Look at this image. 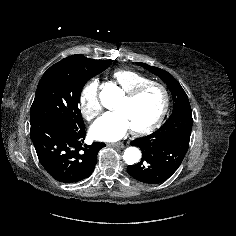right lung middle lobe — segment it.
<instances>
[{
	"label": "right lung middle lobe",
	"mask_w": 236,
	"mask_h": 236,
	"mask_svg": "<svg viewBox=\"0 0 236 236\" xmlns=\"http://www.w3.org/2000/svg\"><path fill=\"white\" fill-rule=\"evenodd\" d=\"M110 61H100L91 68L52 65L42 76L31 106V121L51 119L84 125L78 104L85 83L103 72Z\"/></svg>",
	"instance_id": "right-lung-middle-lobe-1"
}]
</instances>
